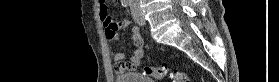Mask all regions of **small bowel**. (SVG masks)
I'll return each instance as SVG.
<instances>
[{
	"mask_svg": "<svg viewBox=\"0 0 279 82\" xmlns=\"http://www.w3.org/2000/svg\"><path fill=\"white\" fill-rule=\"evenodd\" d=\"M99 6H104L105 1L100 0ZM130 25V21L125 22H113L111 26H105L106 29V37L109 40H115L118 37V31L122 27H128ZM131 38L133 44L135 46V50L133 55L130 58L129 62L124 61V54L122 52H117L114 55L115 67L114 72L118 74L127 73L134 71L137 67H139L143 56H144V40L141 36L140 29L137 26L132 27L131 29Z\"/></svg>",
	"mask_w": 279,
	"mask_h": 82,
	"instance_id": "1",
	"label": "small bowel"
}]
</instances>
